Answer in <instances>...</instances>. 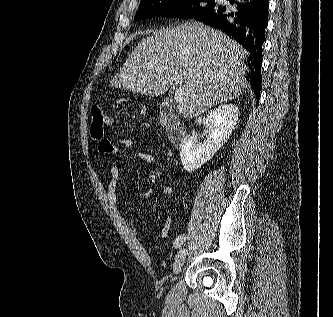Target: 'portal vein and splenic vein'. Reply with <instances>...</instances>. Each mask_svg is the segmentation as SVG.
Wrapping results in <instances>:
<instances>
[{
  "label": "portal vein and splenic vein",
  "instance_id": "1",
  "mask_svg": "<svg viewBox=\"0 0 333 317\" xmlns=\"http://www.w3.org/2000/svg\"><path fill=\"white\" fill-rule=\"evenodd\" d=\"M184 93L180 89H176L175 95H174V101L176 103H180L183 100Z\"/></svg>",
  "mask_w": 333,
  "mask_h": 317
}]
</instances>
